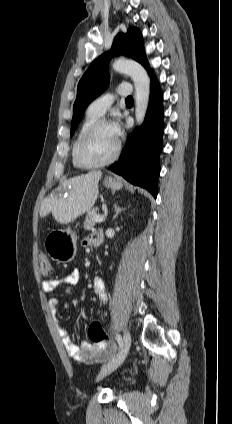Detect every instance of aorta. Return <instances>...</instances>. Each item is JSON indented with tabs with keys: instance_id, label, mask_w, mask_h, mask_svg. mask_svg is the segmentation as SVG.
<instances>
[{
	"instance_id": "1",
	"label": "aorta",
	"mask_w": 232,
	"mask_h": 424,
	"mask_svg": "<svg viewBox=\"0 0 232 424\" xmlns=\"http://www.w3.org/2000/svg\"><path fill=\"white\" fill-rule=\"evenodd\" d=\"M116 72L129 75L135 87V117L138 125L144 121L149 103L150 81L145 69L137 62L117 59L112 65Z\"/></svg>"
}]
</instances>
